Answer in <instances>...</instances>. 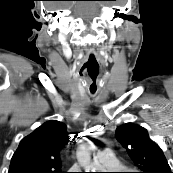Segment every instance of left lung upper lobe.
<instances>
[{
	"label": "left lung upper lobe",
	"instance_id": "left-lung-upper-lobe-1",
	"mask_svg": "<svg viewBox=\"0 0 173 173\" xmlns=\"http://www.w3.org/2000/svg\"><path fill=\"white\" fill-rule=\"evenodd\" d=\"M116 137L140 173H172L161 148L150 139L145 128L127 123L116 129Z\"/></svg>",
	"mask_w": 173,
	"mask_h": 173
}]
</instances>
